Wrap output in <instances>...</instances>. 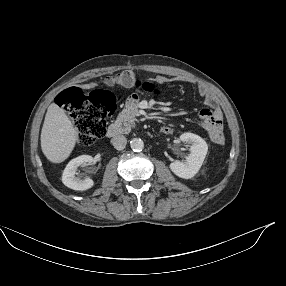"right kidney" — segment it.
<instances>
[{
    "mask_svg": "<svg viewBox=\"0 0 286 286\" xmlns=\"http://www.w3.org/2000/svg\"><path fill=\"white\" fill-rule=\"evenodd\" d=\"M93 162V157L89 155H81L72 159L64 169L62 175L63 184L68 188L79 191H84L91 188L94 185V182L90 177L81 179L76 177L75 174L78 167L92 165Z\"/></svg>",
    "mask_w": 286,
    "mask_h": 286,
    "instance_id": "obj_1",
    "label": "right kidney"
}]
</instances>
